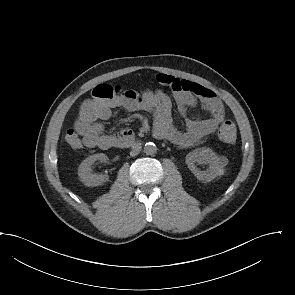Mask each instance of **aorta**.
Here are the masks:
<instances>
[{
    "label": "aorta",
    "mask_w": 295,
    "mask_h": 295,
    "mask_svg": "<svg viewBox=\"0 0 295 295\" xmlns=\"http://www.w3.org/2000/svg\"><path fill=\"white\" fill-rule=\"evenodd\" d=\"M144 152L147 155H154L157 152V147L154 143L149 142L145 144Z\"/></svg>",
    "instance_id": "1"
}]
</instances>
